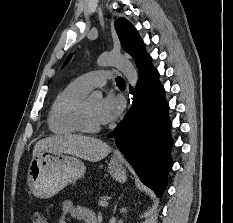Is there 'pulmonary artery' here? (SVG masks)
Instances as JSON below:
<instances>
[{"mask_svg":"<svg viewBox=\"0 0 233 223\" xmlns=\"http://www.w3.org/2000/svg\"><path fill=\"white\" fill-rule=\"evenodd\" d=\"M112 74H115V71H112ZM110 78V71L94 70L81 75L78 80L90 91L95 87L104 86Z\"/></svg>","mask_w":233,"mask_h":223,"instance_id":"obj_1","label":"pulmonary artery"}]
</instances>
